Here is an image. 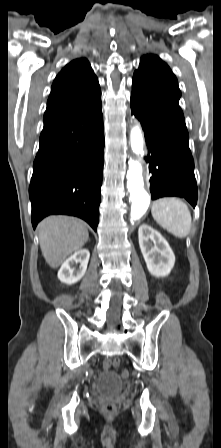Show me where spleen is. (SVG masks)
<instances>
[{"mask_svg": "<svg viewBox=\"0 0 221 448\" xmlns=\"http://www.w3.org/2000/svg\"><path fill=\"white\" fill-rule=\"evenodd\" d=\"M154 220L177 238L186 237L191 231L192 218L187 205L175 197H165L153 202Z\"/></svg>", "mask_w": 221, "mask_h": 448, "instance_id": "spleen-1", "label": "spleen"}]
</instances>
